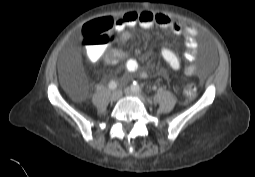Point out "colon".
Returning a JSON list of instances; mask_svg holds the SVG:
<instances>
[{
  "label": "colon",
  "mask_w": 255,
  "mask_h": 177,
  "mask_svg": "<svg viewBox=\"0 0 255 177\" xmlns=\"http://www.w3.org/2000/svg\"><path fill=\"white\" fill-rule=\"evenodd\" d=\"M111 24L105 18H99L86 23L83 26V41L91 47L106 46L112 40L110 33ZM196 94L194 84L188 85L185 90V95L188 99H193Z\"/></svg>",
  "instance_id": "obj_1"
}]
</instances>
